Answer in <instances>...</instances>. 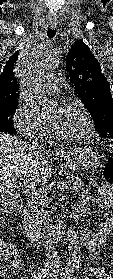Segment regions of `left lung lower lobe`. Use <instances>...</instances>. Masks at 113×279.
Here are the masks:
<instances>
[{"mask_svg": "<svg viewBox=\"0 0 113 279\" xmlns=\"http://www.w3.org/2000/svg\"><path fill=\"white\" fill-rule=\"evenodd\" d=\"M113 136H107V138H112Z\"/></svg>", "mask_w": 113, "mask_h": 279, "instance_id": "left-lung-lower-lobe-1", "label": "left lung lower lobe"}]
</instances>
